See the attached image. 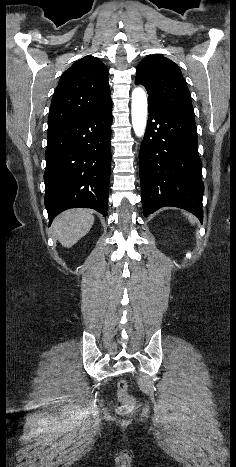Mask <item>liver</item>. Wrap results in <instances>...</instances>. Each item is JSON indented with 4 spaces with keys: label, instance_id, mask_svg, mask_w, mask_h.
<instances>
[{
    "label": "liver",
    "instance_id": "liver-1",
    "mask_svg": "<svg viewBox=\"0 0 236 467\" xmlns=\"http://www.w3.org/2000/svg\"><path fill=\"white\" fill-rule=\"evenodd\" d=\"M94 223L93 211L89 209H71L58 215L52 229L55 238L65 248H70L84 237Z\"/></svg>",
    "mask_w": 236,
    "mask_h": 467
}]
</instances>
